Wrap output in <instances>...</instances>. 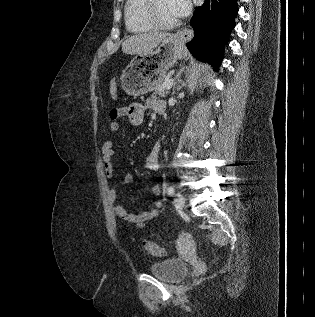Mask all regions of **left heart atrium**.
Instances as JSON below:
<instances>
[{
    "label": "left heart atrium",
    "mask_w": 315,
    "mask_h": 317,
    "mask_svg": "<svg viewBox=\"0 0 315 317\" xmlns=\"http://www.w3.org/2000/svg\"><path fill=\"white\" fill-rule=\"evenodd\" d=\"M171 7L177 17L186 15L189 11V0H170Z\"/></svg>",
    "instance_id": "obj_1"
}]
</instances>
